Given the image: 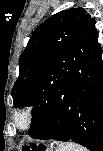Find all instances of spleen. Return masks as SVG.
<instances>
[{
    "label": "spleen",
    "mask_w": 103,
    "mask_h": 151,
    "mask_svg": "<svg viewBox=\"0 0 103 151\" xmlns=\"http://www.w3.org/2000/svg\"><path fill=\"white\" fill-rule=\"evenodd\" d=\"M59 151H88V149L73 142H65L59 145Z\"/></svg>",
    "instance_id": "1"
}]
</instances>
